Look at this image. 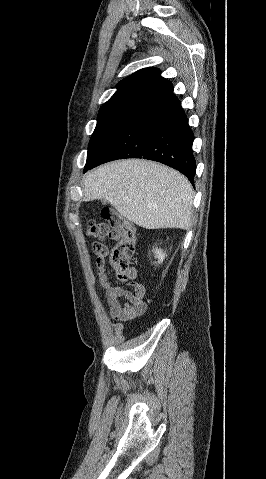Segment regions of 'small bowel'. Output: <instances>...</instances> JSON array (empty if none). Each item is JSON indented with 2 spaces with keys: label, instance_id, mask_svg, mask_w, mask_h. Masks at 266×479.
<instances>
[{
  "label": "small bowel",
  "instance_id": "c3829d8e",
  "mask_svg": "<svg viewBox=\"0 0 266 479\" xmlns=\"http://www.w3.org/2000/svg\"><path fill=\"white\" fill-rule=\"evenodd\" d=\"M106 236L113 239L118 237L112 231H108ZM96 261L99 282L105 289L106 305L111 318L117 322H128L142 315L147 308L144 285L135 283L132 291L116 286L105 271L104 257H96ZM134 276L133 273L132 277Z\"/></svg>",
  "mask_w": 266,
  "mask_h": 479
}]
</instances>
